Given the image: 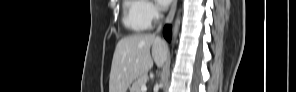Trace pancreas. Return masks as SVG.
Here are the masks:
<instances>
[{"label": "pancreas", "instance_id": "pancreas-1", "mask_svg": "<svg viewBox=\"0 0 296 92\" xmlns=\"http://www.w3.org/2000/svg\"><path fill=\"white\" fill-rule=\"evenodd\" d=\"M148 81L147 75H142L136 79L130 89V92H141V86L145 85Z\"/></svg>", "mask_w": 296, "mask_h": 92}]
</instances>
